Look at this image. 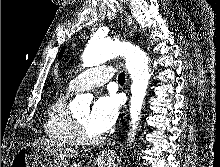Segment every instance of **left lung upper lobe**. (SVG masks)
Returning a JSON list of instances; mask_svg holds the SVG:
<instances>
[{
  "label": "left lung upper lobe",
  "mask_w": 220,
  "mask_h": 167,
  "mask_svg": "<svg viewBox=\"0 0 220 167\" xmlns=\"http://www.w3.org/2000/svg\"><path fill=\"white\" fill-rule=\"evenodd\" d=\"M64 49H65V47H63V49L61 50V52H60V54H59V57H58L59 60H60V59L62 58V56H63Z\"/></svg>",
  "instance_id": "obj_1"
}]
</instances>
